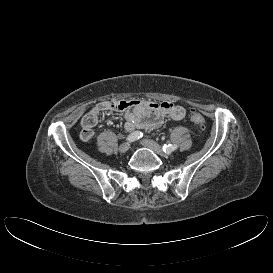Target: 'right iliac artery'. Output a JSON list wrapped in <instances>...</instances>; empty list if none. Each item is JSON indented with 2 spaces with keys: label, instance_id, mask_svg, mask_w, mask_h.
Returning a JSON list of instances; mask_svg holds the SVG:
<instances>
[{
  "label": "right iliac artery",
  "instance_id": "obj_1",
  "mask_svg": "<svg viewBox=\"0 0 273 273\" xmlns=\"http://www.w3.org/2000/svg\"><path fill=\"white\" fill-rule=\"evenodd\" d=\"M142 136H143L142 132L135 131V132L131 133L130 135H128L126 140L129 142H134V141H137L138 139L142 138Z\"/></svg>",
  "mask_w": 273,
  "mask_h": 273
}]
</instances>
